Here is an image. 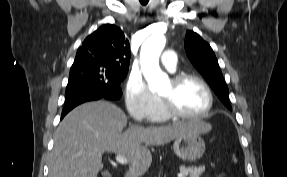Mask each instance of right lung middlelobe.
Returning a JSON list of instances; mask_svg holds the SVG:
<instances>
[{
	"instance_id": "dd1d6c3e",
	"label": "right lung middle lobe",
	"mask_w": 287,
	"mask_h": 177,
	"mask_svg": "<svg viewBox=\"0 0 287 177\" xmlns=\"http://www.w3.org/2000/svg\"><path fill=\"white\" fill-rule=\"evenodd\" d=\"M127 72L100 65H72L67 86L80 83L102 85L108 89L120 87Z\"/></svg>"
}]
</instances>
